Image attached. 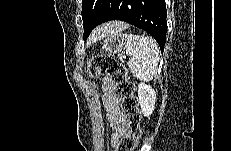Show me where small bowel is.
<instances>
[{
    "mask_svg": "<svg viewBox=\"0 0 231 151\" xmlns=\"http://www.w3.org/2000/svg\"><path fill=\"white\" fill-rule=\"evenodd\" d=\"M103 103L107 111V120L113 129L111 135V145L115 146L117 141L123 136L127 130L119 100L114 96L112 91V83L108 77L103 79Z\"/></svg>",
    "mask_w": 231,
    "mask_h": 151,
    "instance_id": "1",
    "label": "small bowel"
}]
</instances>
